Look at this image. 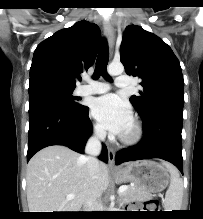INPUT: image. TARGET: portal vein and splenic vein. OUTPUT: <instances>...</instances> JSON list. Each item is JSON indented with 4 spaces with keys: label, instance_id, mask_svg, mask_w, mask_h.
I'll use <instances>...</instances> for the list:
<instances>
[{
    "label": "portal vein and splenic vein",
    "instance_id": "portal-vein-and-splenic-vein-1",
    "mask_svg": "<svg viewBox=\"0 0 203 219\" xmlns=\"http://www.w3.org/2000/svg\"><path fill=\"white\" fill-rule=\"evenodd\" d=\"M127 186H120L119 187V189H118V193H119V195H121L123 192H125L126 190H127ZM75 197V195L74 194H69V195H67V200H71V199H73Z\"/></svg>",
    "mask_w": 203,
    "mask_h": 219
}]
</instances>
